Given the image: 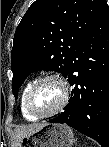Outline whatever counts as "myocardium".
<instances>
[{
    "mask_svg": "<svg viewBox=\"0 0 109 147\" xmlns=\"http://www.w3.org/2000/svg\"><path fill=\"white\" fill-rule=\"evenodd\" d=\"M47 81H55L57 82L63 91L62 94V99L59 102V104L53 108L52 110L45 112V113H40L35 111L32 106H31V98L34 94V92L36 91V89L44 82ZM69 96H70V88H69V84L68 81L65 79V77H63L60 74H48L45 75L41 78H39L38 80H36L32 86L30 87V89L28 90L26 97H25V108L27 110V112L32 115L33 117L36 118H46V117H50L53 115L58 114L59 112H61L65 106L67 105L68 101H69Z\"/></svg>",
    "mask_w": 109,
    "mask_h": 147,
    "instance_id": "myocardium-1",
    "label": "myocardium"
}]
</instances>
